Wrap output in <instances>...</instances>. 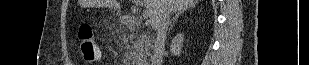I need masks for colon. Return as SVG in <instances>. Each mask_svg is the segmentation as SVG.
Masks as SVG:
<instances>
[{
  "label": "colon",
  "mask_w": 309,
  "mask_h": 65,
  "mask_svg": "<svg viewBox=\"0 0 309 65\" xmlns=\"http://www.w3.org/2000/svg\"><path fill=\"white\" fill-rule=\"evenodd\" d=\"M78 39L83 60L86 63L97 61L100 57V52L95 42L93 32L88 25H82L79 28Z\"/></svg>",
  "instance_id": "5ec220e1"
}]
</instances>
